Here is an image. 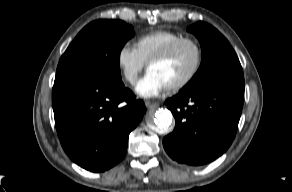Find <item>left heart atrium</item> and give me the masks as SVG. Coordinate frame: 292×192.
<instances>
[{
	"mask_svg": "<svg viewBox=\"0 0 292 192\" xmlns=\"http://www.w3.org/2000/svg\"><path fill=\"white\" fill-rule=\"evenodd\" d=\"M166 89H168L166 83L157 74L149 70L136 86V92L144 98L158 96Z\"/></svg>",
	"mask_w": 292,
	"mask_h": 192,
	"instance_id": "left-heart-atrium-1",
	"label": "left heart atrium"
}]
</instances>
